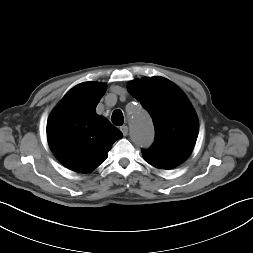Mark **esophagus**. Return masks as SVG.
I'll list each match as a JSON object with an SVG mask.
<instances>
[{"label":"esophagus","mask_w":253,"mask_h":253,"mask_svg":"<svg viewBox=\"0 0 253 253\" xmlns=\"http://www.w3.org/2000/svg\"><path fill=\"white\" fill-rule=\"evenodd\" d=\"M120 130L122 131L124 136L128 134V127L126 125L121 126Z\"/></svg>","instance_id":"esophagus-1"}]
</instances>
